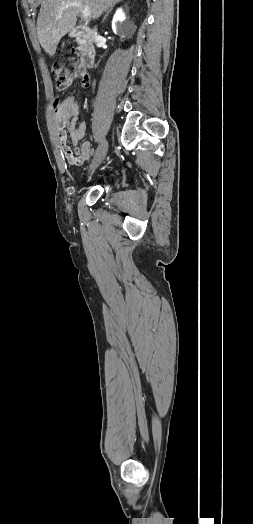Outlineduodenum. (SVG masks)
<instances>
[{
	"label": "duodenum",
	"instance_id": "1",
	"mask_svg": "<svg viewBox=\"0 0 253 524\" xmlns=\"http://www.w3.org/2000/svg\"><path fill=\"white\" fill-rule=\"evenodd\" d=\"M70 35L81 44V61L83 62V67L92 68L95 64L96 47L91 42V29L88 26H77L71 31Z\"/></svg>",
	"mask_w": 253,
	"mask_h": 524
}]
</instances>
